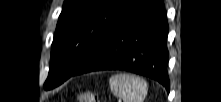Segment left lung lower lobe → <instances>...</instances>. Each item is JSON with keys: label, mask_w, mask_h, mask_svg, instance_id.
<instances>
[{"label": "left lung lower lobe", "mask_w": 221, "mask_h": 102, "mask_svg": "<svg viewBox=\"0 0 221 102\" xmlns=\"http://www.w3.org/2000/svg\"><path fill=\"white\" fill-rule=\"evenodd\" d=\"M168 21L161 0H135L72 76L127 70L161 83L169 92Z\"/></svg>", "instance_id": "obj_1"}]
</instances>
